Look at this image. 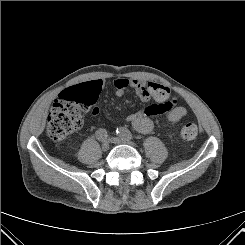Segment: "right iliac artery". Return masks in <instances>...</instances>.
Returning a JSON list of instances; mask_svg holds the SVG:
<instances>
[{
  "mask_svg": "<svg viewBox=\"0 0 245 245\" xmlns=\"http://www.w3.org/2000/svg\"><path fill=\"white\" fill-rule=\"evenodd\" d=\"M95 134L96 138L100 141L106 140L108 137L107 131L102 128L98 129Z\"/></svg>",
  "mask_w": 245,
  "mask_h": 245,
  "instance_id": "right-iliac-artery-1",
  "label": "right iliac artery"
}]
</instances>
